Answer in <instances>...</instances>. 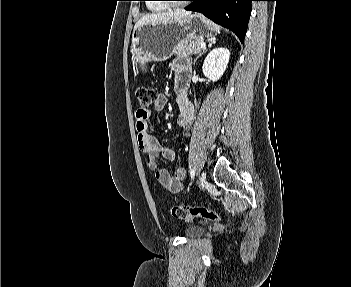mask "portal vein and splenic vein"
I'll return each mask as SVG.
<instances>
[{
    "mask_svg": "<svg viewBox=\"0 0 351 287\" xmlns=\"http://www.w3.org/2000/svg\"><path fill=\"white\" fill-rule=\"evenodd\" d=\"M205 46H206V44H205L204 42H201V43H200V47H201V48H205Z\"/></svg>",
    "mask_w": 351,
    "mask_h": 287,
    "instance_id": "1",
    "label": "portal vein and splenic vein"
}]
</instances>
